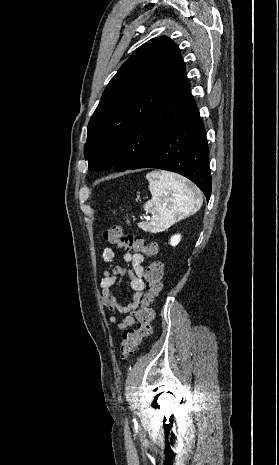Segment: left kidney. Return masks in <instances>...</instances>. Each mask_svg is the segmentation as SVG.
<instances>
[{
  "label": "left kidney",
  "instance_id": "obj_1",
  "mask_svg": "<svg viewBox=\"0 0 279 465\" xmlns=\"http://www.w3.org/2000/svg\"><path fill=\"white\" fill-rule=\"evenodd\" d=\"M180 240H181V235L175 234L170 239V245L176 246L180 242Z\"/></svg>",
  "mask_w": 279,
  "mask_h": 465
}]
</instances>
